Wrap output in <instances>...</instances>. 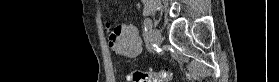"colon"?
<instances>
[{
	"label": "colon",
	"instance_id": "1",
	"mask_svg": "<svg viewBox=\"0 0 279 82\" xmlns=\"http://www.w3.org/2000/svg\"><path fill=\"white\" fill-rule=\"evenodd\" d=\"M172 77L171 69L161 71H140L135 70L128 74V82H169Z\"/></svg>",
	"mask_w": 279,
	"mask_h": 82
}]
</instances>
